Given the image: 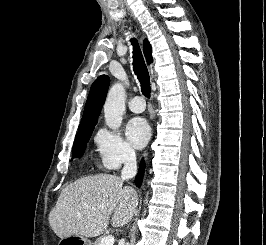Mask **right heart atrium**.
<instances>
[{
    "instance_id": "obj_1",
    "label": "right heart atrium",
    "mask_w": 266,
    "mask_h": 245,
    "mask_svg": "<svg viewBox=\"0 0 266 245\" xmlns=\"http://www.w3.org/2000/svg\"><path fill=\"white\" fill-rule=\"evenodd\" d=\"M100 163L108 171L119 169L135 160V152L117 130L100 127L94 134Z\"/></svg>"
}]
</instances>
